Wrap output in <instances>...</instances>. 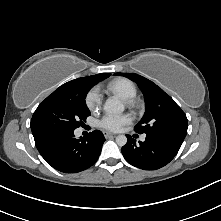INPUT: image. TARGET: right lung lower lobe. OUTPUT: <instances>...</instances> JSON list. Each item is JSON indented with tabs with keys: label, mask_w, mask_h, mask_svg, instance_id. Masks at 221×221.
Wrapping results in <instances>:
<instances>
[{
	"label": "right lung lower lobe",
	"mask_w": 221,
	"mask_h": 221,
	"mask_svg": "<svg viewBox=\"0 0 221 221\" xmlns=\"http://www.w3.org/2000/svg\"><path fill=\"white\" fill-rule=\"evenodd\" d=\"M34 136L35 145L45 161L61 172L77 173L92 166L105 141L101 131L75 138L74 130L54 129Z\"/></svg>",
	"instance_id": "right-lung-lower-lobe-1"
}]
</instances>
